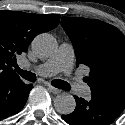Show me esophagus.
Segmentation results:
<instances>
[{
    "instance_id": "34e87169",
    "label": "esophagus",
    "mask_w": 125,
    "mask_h": 125,
    "mask_svg": "<svg viewBox=\"0 0 125 125\" xmlns=\"http://www.w3.org/2000/svg\"><path fill=\"white\" fill-rule=\"evenodd\" d=\"M48 89L50 90V92H52L53 94H59L61 93V90L60 89H57L51 85H48Z\"/></svg>"
}]
</instances>
